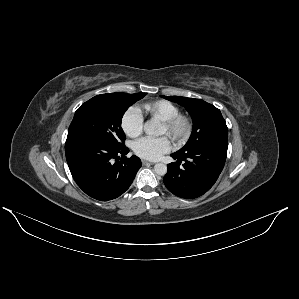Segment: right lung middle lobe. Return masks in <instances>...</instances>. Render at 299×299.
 I'll list each match as a JSON object with an SVG mask.
<instances>
[{"label":"right lung middle lobe","mask_w":299,"mask_h":299,"mask_svg":"<svg viewBox=\"0 0 299 299\" xmlns=\"http://www.w3.org/2000/svg\"><path fill=\"white\" fill-rule=\"evenodd\" d=\"M146 93H109L93 97L75 112L67 139L91 137L114 146L124 145L126 136L121 128L125 111Z\"/></svg>","instance_id":"obj_1"}]
</instances>
